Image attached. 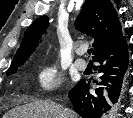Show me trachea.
I'll return each instance as SVG.
<instances>
[{"label":"trachea","instance_id":"1","mask_svg":"<svg viewBox=\"0 0 133 118\" xmlns=\"http://www.w3.org/2000/svg\"><path fill=\"white\" fill-rule=\"evenodd\" d=\"M92 51H93L92 49H88V50H87L88 54H91Z\"/></svg>","mask_w":133,"mask_h":118}]
</instances>
